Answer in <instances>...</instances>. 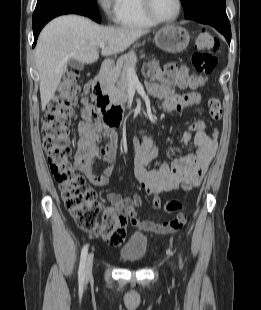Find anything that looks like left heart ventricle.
I'll list each match as a JSON object with an SVG mask.
<instances>
[{"instance_id":"1","label":"left heart ventricle","mask_w":261,"mask_h":310,"mask_svg":"<svg viewBox=\"0 0 261 310\" xmlns=\"http://www.w3.org/2000/svg\"><path fill=\"white\" fill-rule=\"evenodd\" d=\"M154 14L161 19L173 17L177 12V0H151Z\"/></svg>"}]
</instances>
